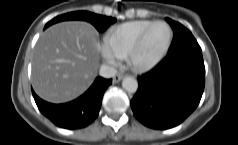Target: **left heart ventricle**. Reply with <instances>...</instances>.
I'll use <instances>...</instances> for the list:
<instances>
[{
	"mask_svg": "<svg viewBox=\"0 0 238 145\" xmlns=\"http://www.w3.org/2000/svg\"><path fill=\"white\" fill-rule=\"evenodd\" d=\"M168 38V30L163 25L155 26L149 33L145 44L137 55L138 62H146L154 58L165 45Z\"/></svg>",
	"mask_w": 238,
	"mask_h": 145,
	"instance_id": "left-heart-ventricle-1",
	"label": "left heart ventricle"
}]
</instances>
